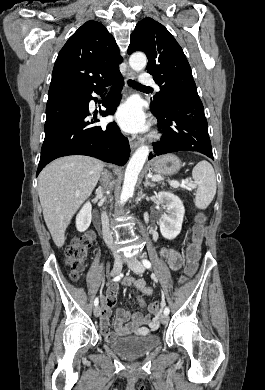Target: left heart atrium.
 Masks as SVG:
<instances>
[{
  "mask_svg": "<svg viewBox=\"0 0 265 390\" xmlns=\"http://www.w3.org/2000/svg\"><path fill=\"white\" fill-rule=\"evenodd\" d=\"M115 118L127 132H143L147 128L145 115L136 101H128L121 105L116 112Z\"/></svg>",
  "mask_w": 265,
  "mask_h": 390,
  "instance_id": "obj_1",
  "label": "left heart atrium"
}]
</instances>
